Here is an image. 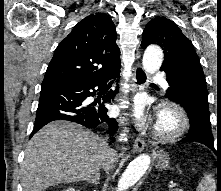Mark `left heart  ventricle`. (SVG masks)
Here are the masks:
<instances>
[{
  "instance_id": "b2bd125f",
  "label": "left heart ventricle",
  "mask_w": 221,
  "mask_h": 191,
  "mask_svg": "<svg viewBox=\"0 0 221 191\" xmlns=\"http://www.w3.org/2000/svg\"><path fill=\"white\" fill-rule=\"evenodd\" d=\"M158 123H159V126H160V127H162V128H168V127L171 126L172 121H171V119H170L169 117H167V116H162V117L159 119Z\"/></svg>"
}]
</instances>
